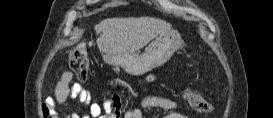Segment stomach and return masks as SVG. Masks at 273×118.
Segmentation results:
<instances>
[{"mask_svg": "<svg viewBox=\"0 0 273 118\" xmlns=\"http://www.w3.org/2000/svg\"><path fill=\"white\" fill-rule=\"evenodd\" d=\"M181 44L182 38L179 32L169 29L157 35L141 54L136 52L105 54L103 59L109 65L123 68L128 74L139 76L165 64Z\"/></svg>", "mask_w": 273, "mask_h": 118, "instance_id": "stomach-1", "label": "stomach"}]
</instances>
